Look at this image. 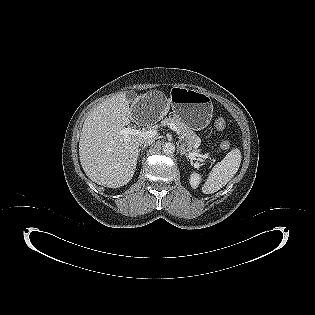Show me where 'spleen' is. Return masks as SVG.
Returning a JSON list of instances; mask_svg holds the SVG:
<instances>
[{
  "instance_id": "3e777b00",
  "label": "spleen",
  "mask_w": 315,
  "mask_h": 315,
  "mask_svg": "<svg viewBox=\"0 0 315 315\" xmlns=\"http://www.w3.org/2000/svg\"><path fill=\"white\" fill-rule=\"evenodd\" d=\"M241 158V152L238 148H234L227 153L224 159L212 168L206 182L202 186V192L211 194L224 187L237 173Z\"/></svg>"
}]
</instances>
